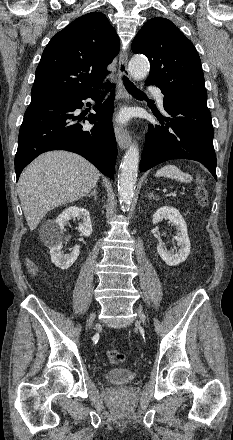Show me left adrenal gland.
<instances>
[{"instance_id":"left-adrenal-gland-1","label":"left adrenal gland","mask_w":233,"mask_h":440,"mask_svg":"<svg viewBox=\"0 0 233 440\" xmlns=\"http://www.w3.org/2000/svg\"><path fill=\"white\" fill-rule=\"evenodd\" d=\"M148 198H149V199H154V200H156V201L159 200V197L155 196V195L153 194V192H150V193L148 194Z\"/></svg>"}]
</instances>
